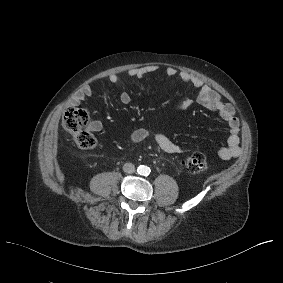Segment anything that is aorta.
Returning a JSON list of instances; mask_svg holds the SVG:
<instances>
[{
    "mask_svg": "<svg viewBox=\"0 0 283 283\" xmlns=\"http://www.w3.org/2000/svg\"><path fill=\"white\" fill-rule=\"evenodd\" d=\"M137 172H138L140 175L147 176V175H149V173H150V168H149L148 166H145V165H140V166L137 168Z\"/></svg>",
    "mask_w": 283,
    "mask_h": 283,
    "instance_id": "762f6f07",
    "label": "aorta"
}]
</instances>
